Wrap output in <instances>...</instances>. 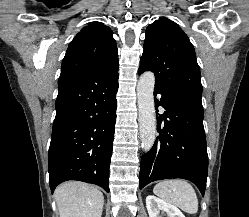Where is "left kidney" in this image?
<instances>
[{"label":"left kidney","instance_id":"left-kidney-1","mask_svg":"<svg viewBox=\"0 0 249 217\" xmlns=\"http://www.w3.org/2000/svg\"><path fill=\"white\" fill-rule=\"evenodd\" d=\"M146 207L149 217H163L162 215L164 213L167 217H185L176 206L154 195H148L146 197Z\"/></svg>","mask_w":249,"mask_h":217}]
</instances>
